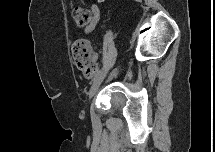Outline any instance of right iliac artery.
Returning a JSON list of instances; mask_svg holds the SVG:
<instances>
[{
  "label": "right iliac artery",
  "mask_w": 215,
  "mask_h": 152,
  "mask_svg": "<svg viewBox=\"0 0 215 152\" xmlns=\"http://www.w3.org/2000/svg\"><path fill=\"white\" fill-rule=\"evenodd\" d=\"M102 63L104 64L105 61L103 60ZM103 68H104V65H103L102 69H103ZM102 69L99 70V71L95 74V76H94V78H93V81H95V80L98 78V76L101 74Z\"/></svg>",
  "instance_id": "right-iliac-artery-1"
}]
</instances>
